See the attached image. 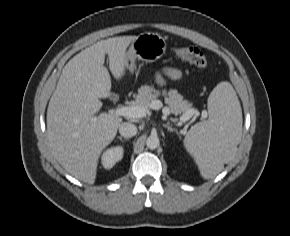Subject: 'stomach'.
I'll return each instance as SVG.
<instances>
[{"instance_id":"stomach-1","label":"stomach","mask_w":290,"mask_h":236,"mask_svg":"<svg viewBox=\"0 0 290 236\" xmlns=\"http://www.w3.org/2000/svg\"><path fill=\"white\" fill-rule=\"evenodd\" d=\"M166 52V41L157 33H141L130 43L126 53L127 68L133 72L136 60L155 62Z\"/></svg>"}]
</instances>
